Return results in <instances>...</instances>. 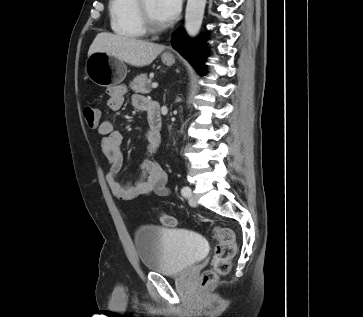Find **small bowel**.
Returning a JSON list of instances; mask_svg holds the SVG:
<instances>
[{
    "instance_id": "c3829d8e",
    "label": "small bowel",
    "mask_w": 363,
    "mask_h": 317,
    "mask_svg": "<svg viewBox=\"0 0 363 317\" xmlns=\"http://www.w3.org/2000/svg\"><path fill=\"white\" fill-rule=\"evenodd\" d=\"M108 93V107L113 111L121 109L124 103L126 88L124 86H115L110 88ZM147 103L148 100L141 95H134L132 97L133 106L139 110L146 111ZM97 131L102 135L100 150L109 164L106 180L112 193L118 199L132 200L152 193L159 196L169 195L167 175L160 165L152 159L156 147L152 145L148 147L146 157L140 166L141 174L139 179L135 182L127 181L123 183L119 178V173L123 163L121 147L124 136L115 129L113 122L110 120L101 121Z\"/></svg>"
}]
</instances>
